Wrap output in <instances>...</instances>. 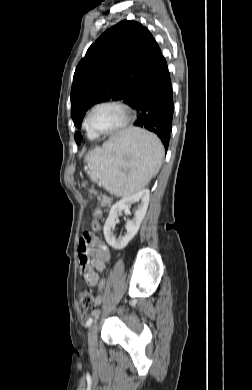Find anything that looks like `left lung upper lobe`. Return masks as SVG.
I'll return each mask as SVG.
<instances>
[{
	"label": "left lung upper lobe",
	"mask_w": 252,
	"mask_h": 390,
	"mask_svg": "<svg viewBox=\"0 0 252 390\" xmlns=\"http://www.w3.org/2000/svg\"><path fill=\"white\" fill-rule=\"evenodd\" d=\"M161 56L146 27L123 20L93 43L76 67L71 88V117L79 127L94 104L123 100L128 105L145 74ZM79 144L82 137L75 134Z\"/></svg>",
	"instance_id": "5c2ea615"
}]
</instances>
